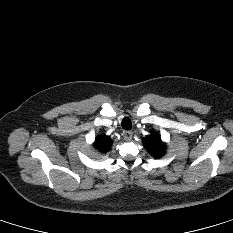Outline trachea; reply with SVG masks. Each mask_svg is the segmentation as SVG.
I'll list each match as a JSON object with an SVG mask.
<instances>
[{
  "mask_svg": "<svg viewBox=\"0 0 233 233\" xmlns=\"http://www.w3.org/2000/svg\"><path fill=\"white\" fill-rule=\"evenodd\" d=\"M122 128L125 130H130L132 128V122L130 120V118L126 117L122 120Z\"/></svg>",
  "mask_w": 233,
  "mask_h": 233,
  "instance_id": "1",
  "label": "trachea"
}]
</instances>
